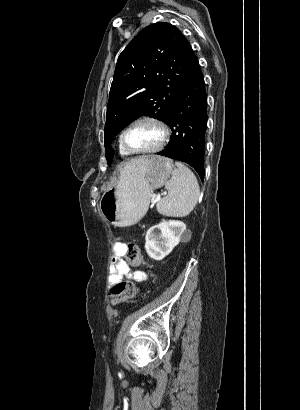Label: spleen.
I'll list each match as a JSON object with an SVG mask.
<instances>
[{
    "label": "spleen",
    "mask_w": 300,
    "mask_h": 410,
    "mask_svg": "<svg viewBox=\"0 0 300 410\" xmlns=\"http://www.w3.org/2000/svg\"><path fill=\"white\" fill-rule=\"evenodd\" d=\"M168 195L157 203L159 213L167 216L188 215L197 204L200 189L193 172L180 162H175L171 179L165 185Z\"/></svg>",
    "instance_id": "spleen-1"
}]
</instances>
